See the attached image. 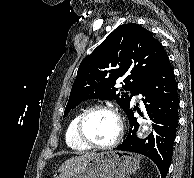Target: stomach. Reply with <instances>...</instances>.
Listing matches in <instances>:
<instances>
[{
    "label": "stomach",
    "instance_id": "1",
    "mask_svg": "<svg viewBox=\"0 0 194 178\" xmlns=\"http://www.w3.org/2000/svg\"><path fill=\"white\" fill-rule=\"evenodd\" d=\"M139 156L107 151L65 170L58 178H126L139 167Z\"/></svg>",
    "mask_w": 194,
    "mask_h": 178
}]
</instances>
